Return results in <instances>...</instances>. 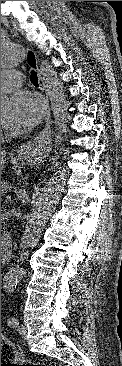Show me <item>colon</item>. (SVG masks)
<instances>
[{"instance_id":"obj_1","label":"colon","mask_w":122,"mask_h":366,"mask_svg":"<svg viewBox=\"0 0 122 366\" xmlns=\"http://www.w3.org/2000/svg\"><path fill=\"white\" fill-rule=\"evenodd\" d=\"M5 358L8 361L15 360V353L12 344L1 337V358ZM5 366H43L40 363L28 362L25 361L23 363H11L4 364Z\"/></svg>"}]
</instances>
